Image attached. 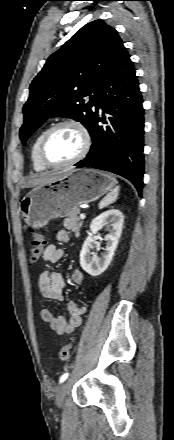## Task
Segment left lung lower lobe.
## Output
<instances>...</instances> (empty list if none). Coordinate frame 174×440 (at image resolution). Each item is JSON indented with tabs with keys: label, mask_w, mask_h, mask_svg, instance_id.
<instances>
[{
	"label": "left lung lower lobe",
	"mask_w": 174,
	"mask_h": 440,
	"mask_svg": "<svg viewBox=\"0 0 174 440\" xmlns=\"http://www.w3.org/2000/svg\"><path fill=\"white\" fill-rule=\"evenodd\" d=\"M135 68L124 49L100 88L88 126L90 152L75 166L118 174L141 194L144 175V110ZM99 108L103 110L99 116ZM102 122L105 125L99 126Z\"/></svg>",
	"instance_id": "1"
}]
</instances>
